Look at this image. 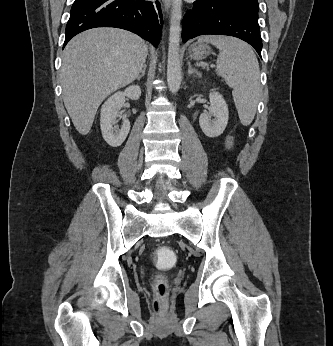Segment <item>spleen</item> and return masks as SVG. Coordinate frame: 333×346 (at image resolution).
<instances>
[{"mask_svg":"<svg viewBox=\"0 0 333 346\" xmlns=\"http://www.w3.org/2000/svg\"><path fill=\"white\" fill-rule=\"evenodd\" d=\"M198 42L211 43L220 50L216 72L233 89L241 123L249 125L254 119L261 90L259 63L252 48L241 40L227 36H201Z\"/></svg>","mask_w":333,"mask_h":346,"instance_id":"3e777b00","label":"spleen"}]
</instances>
